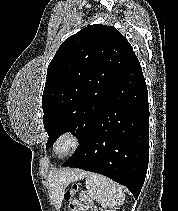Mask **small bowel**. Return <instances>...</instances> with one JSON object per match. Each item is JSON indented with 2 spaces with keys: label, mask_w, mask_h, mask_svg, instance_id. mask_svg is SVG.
<instances>
[{
  "label": "small bowel",
  "mask_w": 178,
  "mask_h": 211,
  "mask_svg": "<svg viewBox=\"0 0 178 211\" xmlns=\"http://www.w3.org/2000/svg\"><path fill=\"white\" fill-rule=\"evenodd\" d=\"M80 211H96V208L87 200L81 202Z\"/></svg>",
  "instance_id": "small-bowel-1"
}]
</instances>
